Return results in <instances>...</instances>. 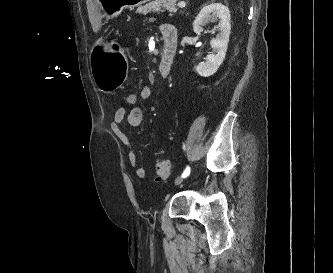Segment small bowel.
Returning <instances> with one entry per match:
<instances>
[{"label": "small bowel", "instance_id": "small-bowel-1", "mask_svg": "<svg viewBox=\"0 0 333 273\" xmlns=\"http://www.w3.org/2000/svg\"><path fill=\"white\" fill-rule=\"evenodd\" d=\"M165 25V24H164ZM164 25L160 26L162 32ZM133 94V93H129ZM151 89L148 86H144L140 89L139 98L143 101L150 99ZM127 121L131 126H138L143 121V112L141 108L131 109L129 112L120 107L117 109L112 122V130L115 136L120 140V142L128 149V161L132 168L134 169L135 176L139 179L145 177V169L139 165L137 155L132 148V143L129 137L124 133L122 129V124Z\"/></svg>", "mask_w": 333, "mask_h": 273}]
</instances>
